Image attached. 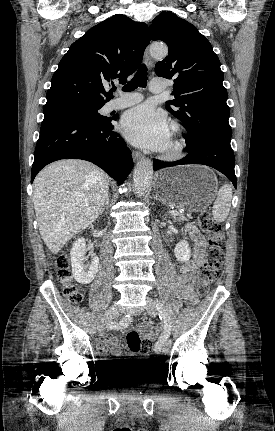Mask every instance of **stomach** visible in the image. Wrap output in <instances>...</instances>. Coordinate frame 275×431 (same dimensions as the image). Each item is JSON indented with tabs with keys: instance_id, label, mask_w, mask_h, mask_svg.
<instances>
[{
	"instance_id": "1",
	"label": "stomach",
	"mask_w": 275,
	"mask_h": 431,
	"mask_svg": "<svg viewBox=\"0 0 275 431\" xmlns=\"http://www.w3.org/2000/svg\"><path fill=\"white\" fill-rule=\"evenodd\" d=\"M218 181L214 172L199 165L163 169L156 175L155 191L171 206L190 212L207 208L214 200Z\"/></svg>"
}]
</instances>
